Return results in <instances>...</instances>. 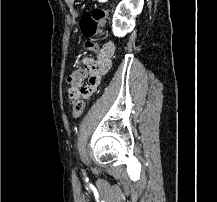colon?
Returning a JSON list of instances; mask_svg holds the SVG:
<instances>
[{
    "label": "colon",
    "mask_w": 217,
    "mask_h": 202,
    "mask_svg": "<svg viewBox=\"0 0 217 202\" xmlns=\"http://www.w3.org/2000/svg\"><path fill=\"white\" fill-rule=\"evenodd\" d=\"M108 10L105 8L94 7L86 10L80 18V31L85 38L83 50L86 53H91L96 45L95 37L100 32L102 26L106 23ZM89 74L86 68L72 70L68 75V88L69 102H72L76 96V91H79V86L85 81L84 75ZM83 88V87H82ZM79 97V96H78ZM81 100L77 99V105L72 109L73 116L78 117L81 115L84 107L81 106Z\"/></svg>",
    "instance_id": "obj_1"
}]
</instances>
